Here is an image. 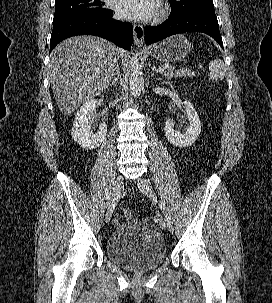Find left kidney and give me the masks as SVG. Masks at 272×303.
Here are the masks:
<instances>
[{"instance_id":"obj_1","label":"left kidney","mask_w":272,"mask_h":303,"mask_svg":"<svg viewBox=\"0 0 272 303\" xmlns=\"http://www.w3.org/2000/svg\"><path fill=\"white\" fill-rule=\"evenodd\" d=\"M185 116L188 122L186 132L174 129V123L171 119H167L164 126V132L167 140L174 146L183 148L191 146L201 132V122L199 116L190 101L185 100Z\"/></svg>"}]
</instances>
